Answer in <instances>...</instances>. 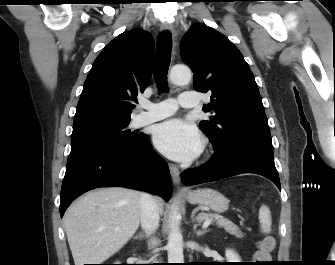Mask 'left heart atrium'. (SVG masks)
<instances>
[{
	"mask_svg": "<svg viewBox=\"0 0 335 265\" xmlns=\"http://www.w3.org/2000/svg\"><path fill=\"white\" fill-rule=\"evenodd\" d=\"M156 148L165 156L188 161L202 149V139L197 129L182 119H171L157 125L153 133Z\"/></svg>",
	"mask_w": 335,
	"mask_h": 265,
	"instance_id": "39dd6f15",
	"label": "left heart atrium"
}]
</instances>
